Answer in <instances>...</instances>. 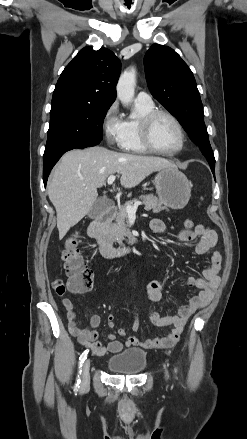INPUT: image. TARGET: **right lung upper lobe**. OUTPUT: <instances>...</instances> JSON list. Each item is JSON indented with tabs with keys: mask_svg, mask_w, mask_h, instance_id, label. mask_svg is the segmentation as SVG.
Instances as JSON below:
<instances>
[{
	"mask_svg": "<svg viewBox=\"0 0 247 439\" xmlns=\"http://www.w3.org/2000/svg\"><path fill=\"white\" fill-rule=\"evenodd\" d=\"M120 71V60L109 49L83 48L61 73L53 92L51 106H111L116 98Z\"/></svg>",
	"mask_w": 247,
	"mask_h": 439,
	"instance_id": "right-lung-upper-lobe-1",
	"label": "right lung upper lobe"
}]
</instances>
